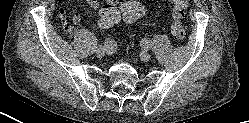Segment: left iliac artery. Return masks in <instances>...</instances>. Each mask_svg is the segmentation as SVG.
Instances as JSON below:
<instances>
[{"mask_svg":"<svg viewBox=\"0 0 249 123\" xmlns=\"http://www.w3.org/2000/svg\"><path fill=\"white\" fill-rule=\"evenodd\" d=\"M142 46L145 48V49H150L151 48V42L149 39H144L142 41Z\"/></svg>","mask_w":249,"mask_h":123,"instance_id":"left-iliac-artery-1","label":"left iliac artery"}]
</instances>
